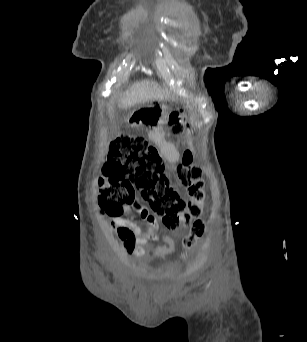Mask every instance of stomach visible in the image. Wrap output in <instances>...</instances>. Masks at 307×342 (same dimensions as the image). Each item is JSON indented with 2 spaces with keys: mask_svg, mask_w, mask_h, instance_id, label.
<instances>
[{
  "mask_svg": "<svg viewBox=\"0 0 307 342\" xmlns=\"http://www.w3.org/2000/svg\"><path fill=\"white\" fill-rule=\"evenodd\" d=\"M169 112L166 105L139 109L129 117V124L133 127L147 125L151 129H156L168 122Z\"/></svg>",
  "mask_w": 307,
  "mask_h": 342,
  "instance_id": "1",
  "label": "stomach"
}]
</instances>
